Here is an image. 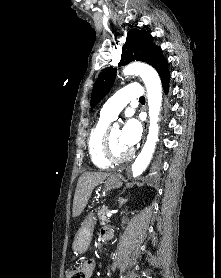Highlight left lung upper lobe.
Listing matches in <instances>:
<instances>
[{
  "instance_id": "1",
  "label": "left lung upper lobe",
  "mask_w": 221,
  "mask_h": 278,
  "mask_svg": "<svg viewBox=\"0 0 221 278\" xmlns=\"http://www.w3.org/2000/svg\"><path fill=\"white\" fill-rule=\"evenodd\" d=\"M132 61L146 62L152 65L157 72L167 64L161 48L153 44L152 36L145 30L137 28L131 29L127 34L119 66ZM116 70V68L109 67L100 73L92 90L91 108L110 91L116 77Z\"/></svg>"
}]
</instances>
